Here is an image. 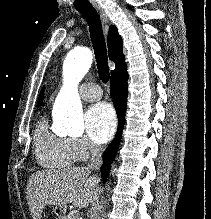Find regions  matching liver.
Listing matches in <instances>:
<instances>
[{
    "label": "liver",
    "mask_w": 211,
    "mask_h": 219,
    "mask_svg": "<svg viewBox=\"0 0 211 219\" xmlns=\"http://www.w3.org/2000/svg\"><path fill=\"white\" fill-rule=\"evenodd\" d=\"M99 179L85 167L45 170L32 174L27 186V202L33 219H41L48 204L65 208L73 203L86 208L96 199Z\"/></svg>",
    "instance_id": "6515ba94"
}]
</instances>
